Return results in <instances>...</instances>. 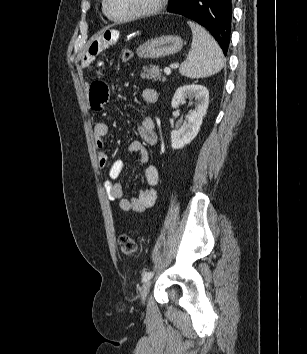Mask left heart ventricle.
I'll use <instances>...</instances> for the list:
<instances>
[{"mask_svg": "<svg viewBox=\"0 0 307 354\" xmlns=\"http://www.w3.org/2000/svg\"><path fill=\"white\" fill-rule=\"evenodd\" d=\"M153 0H109V8L115 16H126L148 7Z\"/></svg>", "mask_w": 307, "mask_h": 354, "instance_id": "left-heart-ventricle-1", "label": "left heart ventricle"}]
</instances>
